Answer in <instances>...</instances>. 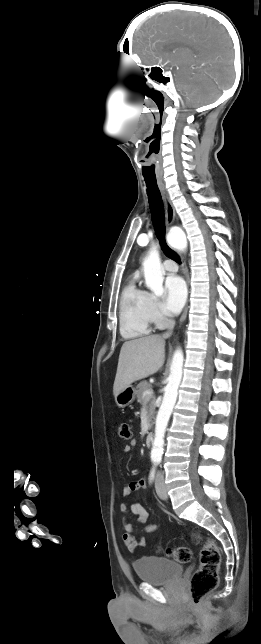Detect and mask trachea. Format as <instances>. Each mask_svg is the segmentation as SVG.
Wrapping results in <instances>:
<instances>
[{"label":"trachea","mask_w":261,"mask_h":644,"mask_svg":"<svg viewBox=\"0 0 261 644\" xmlns=\"http://www.w3.org/2000/svg\"><path fill=\"white\" fill-rule=\"evenodd\" d=\"M145 183L147 186V195L149 199L153 225H154L156 235L160 241V245L167 256H169L176 262L181 263L177 253H175L171 248H169L165 240L164 207H163L161 193L157 185V181L145 179Z\"/></svg>","instance_id":"3493384b"}]
</instances>
